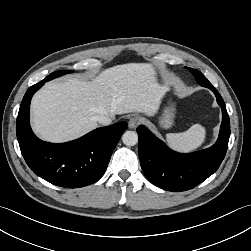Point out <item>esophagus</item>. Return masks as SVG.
Returning a JSON list of instances; mask_svg holds the SVG:
<instances>
[{"label": "esophagus", "instance_id": "esophagus-1", "mask_svg": "<svg viewBox=\"0 0 251 251\" xmlns=\"http://www.w3.org/2000/svg\"><path fill=\"white\" fill-rule=\"evenodd\" d=\"M140 121L141 119L139 116H133L128 122L129 128L135 129L140 124Z\"/></svg>", "mask_w": 251, "mask_h": 251}]
</instances>
